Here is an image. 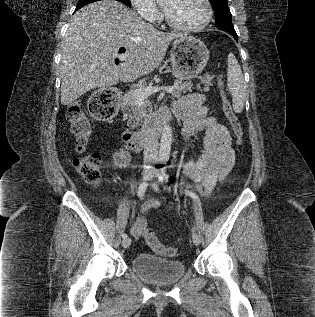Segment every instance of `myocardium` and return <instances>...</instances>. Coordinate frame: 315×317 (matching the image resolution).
<instances>
[{
  "label": "myocardium",
  "mask_w": 315,
  "mask_h": 317,
  "mask_svg": "<svg viewBox=\"0 0 315 317\" xmlns=\"http://www.w3.org/2000/svg\"><path fill=\"white\" fill-rule=\"evenodd\" d=\"M202 1L205 5V8H206V16L201 23L196 24V25H191V26L181 25V24L174 22L169 17V15L165 12L164 18H165L166 23L170 27H172L173 29L180 30V31H186V32H195V31H199V30L204 29L211 22V19L213 17V8H212V5L210 3V0H202Z\"/></svg>",
  "instance_id": "obj_1"
}]
</instances>
